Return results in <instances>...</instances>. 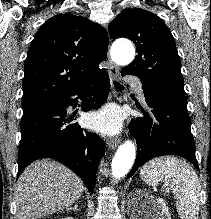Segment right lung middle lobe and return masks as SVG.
<instances>
[{
	"mask_svg": "<svg viewBox=\"0 0 211 219\" xmlns=\"http://www.w3.org/2000/svg\"><path fill=\"white\" fill-rule=\"evenodd\" d=\"M44 104H46V103L32 104V105H22V107H23V113L28 112V111H31V110H33V109H36V108H38V107H40V106H42V105H44Z\"/></svg>",
	"mask_w": 211,
	"mask_h": 219,
	"instance_id": "dd1d6c3e",
	"label": "right lung middle lobe"
}]
</instances>
